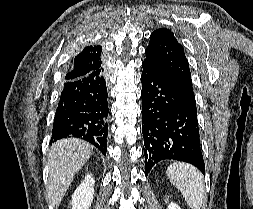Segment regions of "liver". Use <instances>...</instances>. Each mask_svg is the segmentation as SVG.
Instances as JSON below:
<instances>
[{
    "label": "liver",
    "instance_id": "6515ba94",
    "mask_svg": "<svg viewBox=\"0 0 253 209\" xmlns=\"http://www.w3.org/2000/svg\"><path fill=\"white\" fill-rule=\"evenodd\" d=\"M92 153L93 146L77 138L59 140L51 146L48 154L47 196L54 208H58L76 173Z\"/></svg>",
    "mask_w": 253,
    "mask_h": 209
}]
</instances>
